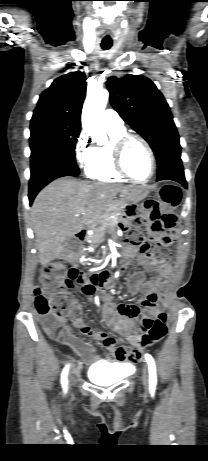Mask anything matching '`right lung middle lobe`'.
<instances>
[{"label": "right lung middle lobe", "instance_id": "right-lung-middle-lobe-1", "mask_svg": "<svg viewBox=\"0 0 208 461\" xmlns=\"http://www.w3.org/2000/svg\"><path fill=\"white\" fill-rule=\"evenodd\" d=\"M31 176L55 166L79 174L75 161V144L80 128L54 119H31Z\"/></svg>", "mask_w": 208, "mask_h": 461}]
</instances>
